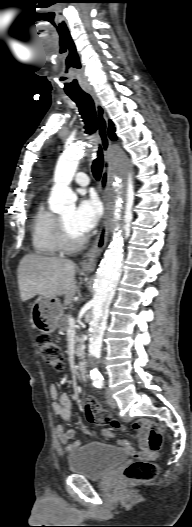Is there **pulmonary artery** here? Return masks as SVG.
Masks as SVG:
<instances>
[{
  "instance_id": "e3ab8cb5",
  "label": "pulmonary artery",
  "mask_w": 192,
  "mask_h": 527,
  "mask_svg": "<svg viewBox=\"0 0 192 527\" xmlns=\"http://www.w3.org/2000/svg\"><path fill=\"white\" fill-rule=\"evenodd\" d=\"M74 182L79 186L85 187L89 185L90 179L86 173L79 172L75 175Z\"/></svg>"
}]
</instances>
